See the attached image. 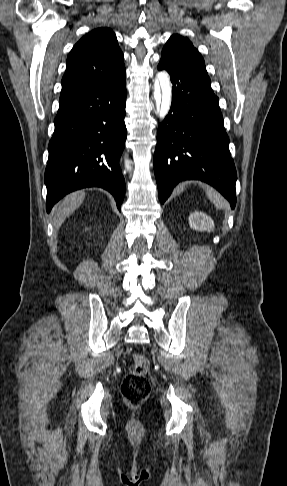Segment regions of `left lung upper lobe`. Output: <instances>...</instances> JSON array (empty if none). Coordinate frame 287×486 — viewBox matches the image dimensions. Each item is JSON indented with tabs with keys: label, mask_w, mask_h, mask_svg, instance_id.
Instances as JSON below:
<instances>
[{
	"label": "left lung upper lobe",
	"mask_w": 287,
	"mask_h": 486,
	"mask_svg": "<svg viewBox=\"0 0 287 486\" xmlns=\"http://www.w3.org/2000/svg\"><path fill=\"white\" fill-rule=\"evenodd\" d=\"M161 55L172 65L211 85L203 57L188 39L180 35H172L165 44Z\"/></svg>",
	"instance_id": "obj_1"
}]
</instances>
